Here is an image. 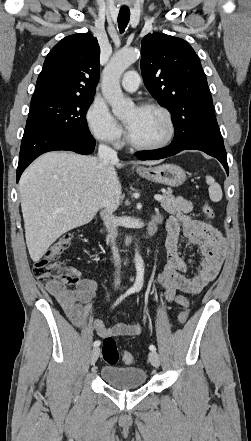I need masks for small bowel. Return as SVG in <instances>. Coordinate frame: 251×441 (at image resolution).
I'll return each instance as SVG.
<instances>
[{"label": "small bowel", "instance_id": "1", "mask_svg": "<svg viewBox=\"0 0 251 441\" xmlns=\"http://www.w3.org/2000/svg\"><path fill=\"white\" fill-rule=\"evenodd\" d=\"M154 218L159 223L162 221L161 216ZM166 230L167 263L156 279L166 300L185 308L188 300L183 294L196 295L217 277L224 259L225 240L210 222L189 215L169 216ZM181 240L187 249L198 248L203 255L197 273L190 278L185 275L189 265L180 251ZM47 289L72 324L79 329H90L102 338L137 336L142 332L139 324L118 323L107 327L102 320L91 315L92 301L98 289L93 279H80L71 289Z\"/></svg>", "mask_w": 251, "mask_h": 441}]
</instances>
